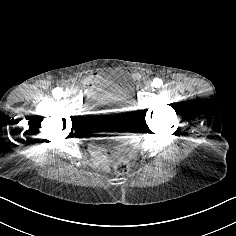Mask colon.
<instances>
[{
    "instance_id": "obj_1",
    "label": "colon",
    "mask_w": 236,
    "mask_h": 236,
    "mask_svg": "<svg viewBox=\"0 0 236 236\" xmlns=\"http://www.w3.org/2000/svg\"><path fill=\"white\" fill-rule=\"evenodd\" d=\"M130 169V162L126 157L116 156L114 160V170L118 174H125Z\"/></svg>"
}]
</instances>
